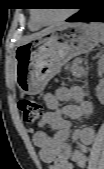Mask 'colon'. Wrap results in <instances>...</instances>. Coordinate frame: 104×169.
<instances>
[{
	"mask_svg": "<svg viewBox=\"0 0 104 169\" xmlns=\"http://www.w3.org/2000/svg\"><path fill=\"white\" fill-rule=\"evenodd\" d=\"M18 108L23 121L28 125L35 124L43 114V106L41 102L31 98L21 99L18 103Z\"/></svg>",
	"mask_w": 104,
	"mask_h": 169,
	"instance_id": "colon-1",
	"label": "colon"
}]
</instances>
